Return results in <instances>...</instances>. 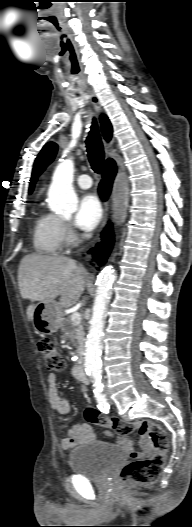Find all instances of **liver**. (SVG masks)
<instances>
[{"label":"liver","instance_id":"1","mask_svg":"<svg viewBox=\"0 0 192 527\" xmlns=\"http://www.w3.org/2000/svg\"><path fill=\"white\" fill-rule=\"evenodd\" d=\"M18 286L23 299L54 300L60 297V307H71L85 289V270L76 261L56 255H25L18 269ZM36 305L27 308V317L33 321Z\"/></svg>","mask_w":192,"mask_h":527}]
</instances>
